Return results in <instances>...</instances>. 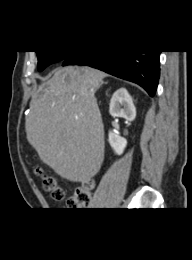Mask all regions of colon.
Returning a JSON list of instances; mask_svg holds the SVG:
<instances>
[{"instance_id":"colon-1","label":"colon","mask_w":192,"mask_h":260,"mask_svg":"<svg viewBox=\"0 0 192 260\" xmlns=\"http://www.w3.org/2000/svg\"><path fill=\"white\" fill-rule=\"evenodd\" d=\"M36 173L42 178V185L44 190L49 192L53 199L62 200L65 196L63 188L59 185L57 177L46 174L42 169L37 168ZM93 183L86 181L82 183L67 201V208L79 209L85 208L89 205L91 199V191Z\"/></svg>"}]
</instances>
